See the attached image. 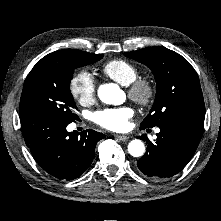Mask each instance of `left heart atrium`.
<instances>
[{
    "mask_svg": "<svg viewBox=\"0 0 221 221\" xmlns=\"http://www.w3.org/2000/svg\"><path fill=\"white\" fill-rule=\"evenodd\" d=\"M133 111L129 107L104 109L94 114V121L101 127L111 131H124L129 126Z\"/></svg>",
    "mask_w": 221,
    "mask_h": 221,
    "instance_id": "39dd6f15",
    "label": "left heart atrium"
}]
</instances>
